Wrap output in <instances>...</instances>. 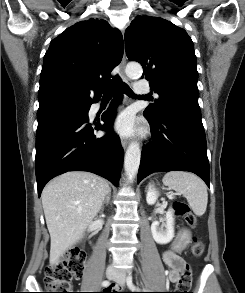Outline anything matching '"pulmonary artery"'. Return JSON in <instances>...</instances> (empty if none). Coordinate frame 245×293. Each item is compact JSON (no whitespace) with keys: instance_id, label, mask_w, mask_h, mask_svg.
<instances>
[{"instance_id":"obj_1","label":"pulmonary artery","mask_w":245,"mask_h":293,"mask_svg":"<svg viewBox=\"0 0 245 293\" xmlns=\"http://www.w3.org/2000/svg\"><path fill=\"white\" fill-rule=\"evenodd\" d=\"M135 91L141 96H146L149 93L144 83L137 84Z\"/></svg>"}]
</instances>
